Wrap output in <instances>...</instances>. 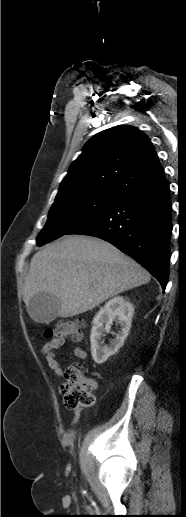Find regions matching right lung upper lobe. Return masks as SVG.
Listing matches in <instances>:
<instances>
[{"mask_svg":"<svg viewBox=\"0 0 186 517\" xmlns=\"http://www.w3.org/2000/svg\"><path fill=\"white\" fill-rule=\"evenodd\" d=\"M164 172L150 139L130 126L96 134L71 164L56 198L76 194L121 197L158 182Z\"/></svg>","mask_w":186,"mask_h":517,"instance_id":"right-lung-upper-lobe-1","label":"right lung upper lobe"}]
</instances>
